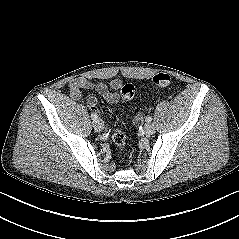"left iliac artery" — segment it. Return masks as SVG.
<instances>
[{"label":"left iliac artery","instance_id":"1","mask_svg":"<svg viewBox=\"0 0 239 239\" xmlns=\"http://www.w3.org/2000/svg\"><path fill=\"white\" fill-rule=\"evenodd\" d=\"M152 121V117H150V116H148V117H146V122H151Z\"/></svg>","mask_w":239,"mask_h":239}]
</instances>
